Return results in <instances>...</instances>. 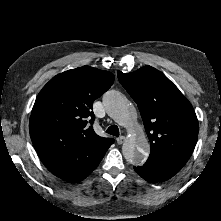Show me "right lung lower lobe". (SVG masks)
I'll return each mask as SVG.
<instances>
[{"label":"right lung lower lobe","instance_id":"right-lung-lower-lobe-1","mask_svg":"<svg viewBox=\"0 0 221 221\" xmlns=\"http://www.w3.org/2000/svg\"><path fill=\"white\" fill-rule=\"evenodd\" d=\"M110 146V143L103 140L91 142L45 160L43 163L57 177L77 183L97 168Z\"/></svg>","mask_w":221,"mask_h":221}]
</instances>
